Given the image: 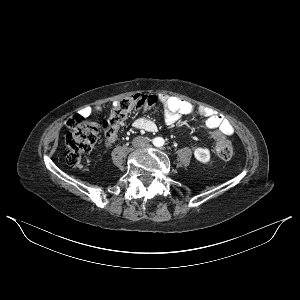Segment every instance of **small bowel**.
Segmentation results:
<instances>
[{"label":"small bowel","mask_w":300,"mask_h":300,"mask_svg":"<svg viewBox=\"0 0 300 300\" xmlns=\"http://www.w3.org/2000/svg\"><path fill=\"white\" fill-rule=\"evenodd\" d=\"M160 101L165 107L164 121L167 125L176 123L182 115L195 114L206 119V127L210 130H217V136H230L234 133L232 124L213 109L195 105L179 97L162 95ZM102 112L101 107H86L80 112V116L88 117L95 113ZM133 126L147 132H155L156 124L145 117L135 119Z\"/></svg>","instance_id":"obj_1"}]
</instances>
